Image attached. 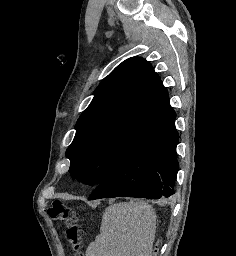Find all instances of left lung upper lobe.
Masks as SVG:
<instances>
[{
    "label": "left lung upper lobe",
    "mask_w": 236,
    "mask_h": 256,
    "mask_svg": "<svg viewBox=\"0 0 236 256\" xmlns=\"http://www.w3.org/2000/svg\"><path fill=\"white\" fill-rule=\"evenodd\" d=\"M168 102L162 81L148 61L132 57L119 64L96 88L76 123L74 140L66 151L71 176L99 185L134 131Z\"/></svg>",
    "instance_id": "obj_1"
}]
</instances>
